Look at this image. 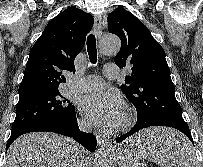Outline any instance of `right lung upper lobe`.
Returning <instances> with one entry per match:
<instances>
[{
  "label": "right lung upper lobe",
  "mask_w": 203,
  "mask_h": 167,
  "mask_svg": "<svg viewBox=\"0 0 203 167\" xmlns=\"http://www.w3.org/2000/svg\"><path fill=\"white\" fill-rule=\"evenodd\" d=\"M93 22L90 14L70 7L48 23L30 51L18 103L57 91L66 82L63 72H75L74 59Z\"/></svg>",
  "instance_id": "cb5924a9"
}]
</instances>
